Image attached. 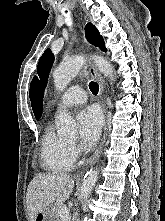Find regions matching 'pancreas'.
<instances>
[{"label":"pancreas","mask_w":165,"mask_h":221,"mask_svg":"<svg viewBox=\"0 0 165 221\" xmlns=\"http://www.w3.org/2000/svg\"><path fill=\"white\" fill-rule=\"evenodd\" d=\"M64 207H65L64 205L55 206V213H54L55 221H64L60 216V210Z\"/></svg>","instance_id":"obj_1"}]
</instances>
